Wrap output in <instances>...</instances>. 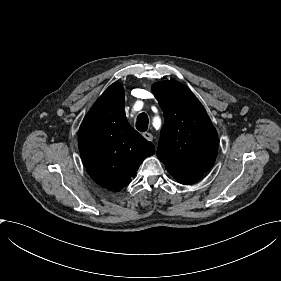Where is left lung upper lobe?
<instances>
[{
  "label": "left lung upper lobe",
  "mask_w": 281,
  "mask_h": 281,
  "mask_svg": "<svg viewBox=\"0 0 281 281\" xmlns=\"http://www.w3.org/2000/svg\"><path fill=\"white\" fill-rule=\"evenodd\" d=\"M152 91L164 112L157 156L168 172L200 175L214 164L218 135L195 95L177 81H162Z\"/></svg>",
  "instance_id": "obj_1"
}]
</instances>
